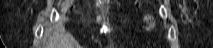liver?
<instances>
[{
	"mask_svg": "<svg viewBox=\"0 0 213 48\" xmlns=\"http://www.w3.org/2000/svg\"><path fill=\"white\" fill-rule=\"evenodd\" d=\"M46 48H81L74 37L64 29L52 31Z\"/></svg>",
	"mask_w": 213,
	"mask_h": 48,
	"instance_id": "6515ba94",
	"label": "liver"
}]
</instances>
